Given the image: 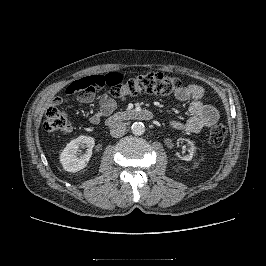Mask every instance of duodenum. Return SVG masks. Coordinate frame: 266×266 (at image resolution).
<instances>
[{"label": "duodenum", "mask_w": 266, "mask_h": 266, "mask_svg": "<svg viewBox=\"0 0 266 266\" xmlns=\"http://www.w3.org/2000/svg\"><path fill=\"white\" fill-rule=\"evenodd\" d=\"M152 118H153V113L147 109L126 110V111L117 112L114 115L109 116L106 119V124L108 126H114L126 120L148 121L151 120Z\"/></svg>", "instance_id": "duodenum-1"}]
</instances>
